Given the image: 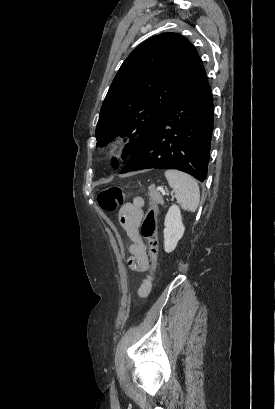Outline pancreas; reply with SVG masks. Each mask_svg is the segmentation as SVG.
Instances as JSON below:
<instances>
[{"instance_id": "pancreas-1", "label": "pancreas", "mask_w": 275, "mask_h": 409, "mask_svg": "<svg viewBox=\"0 0 275 409\" xmlns=\"http://www.w3.org/2000/svg\"><path fill=\"white\" fill-rule=\"evenodd\" d=\"M150 192H148L151 200H156V202H159V205H164V200L162 194L158 192V190H155V188H149Z\"/></svg>"}]
</instances>
